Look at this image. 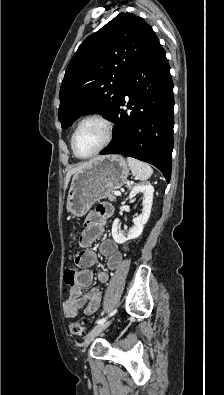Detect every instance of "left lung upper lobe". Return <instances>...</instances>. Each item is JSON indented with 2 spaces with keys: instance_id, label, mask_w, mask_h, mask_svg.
<instances>
[{
  "instance_id": "left-lung-upper-lobe-1",
  "label": "left lung upper lobe",
  "mask_w": 224,
  "mask_h": 395,
  "mask_svg": "<svg viewBox=\"0 0 224 395\" xmlns=\"http://www.w3.org/2000/svg\"><path fill=\"white\" fill-rule=\"evenodd\" d=\"M157 41L143 18L126 13L87 37L62 81L58 111L62 128L84 114L98 113L111 119L129 75Z\"/></svg>"
}]
</instances>
